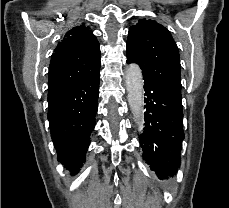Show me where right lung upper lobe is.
Returning a JSON list of instances; mask_svg holds the SVG:
<instances>
[{
  "mask_svg": "<svg viewBox=\"0 0 229 208\" xmlns=\"http://www.w3.org/2000/svg\"><path fill=\"white\" fill-rule=\"evenodd\" d=\"M54 51L49 66L48 97L90 77L101 65L99 43L88 27L68 31Z\"/></svg>",
  "mask_w": 229,
  "mask_h": 208,
  "instance_id": "right-lung-upper-lobe-1",
  "label": "right lung upper lobe"
}]
</instances>
